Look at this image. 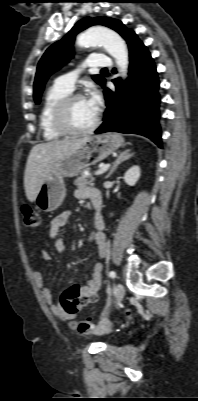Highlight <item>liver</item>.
Wrapping results in <instances>:
<instances>
[{
  "label": "liver",
  "mask_w": 198,
  "mask_h": 401,
  "mask_svg": "<svg viewBox=\"0 0 198 401\" xmlns=\"http://www.w3.org/2000/svg\"><path fill=\"white\" fill-rule=\"evenodd\" d=\"M89 138L55 140L32 147L24 172L25 193L30 202L36 200L53 163L85 144Z\"/></svg>",
  "instance_id": "6515ba94"
}]
</instances>
